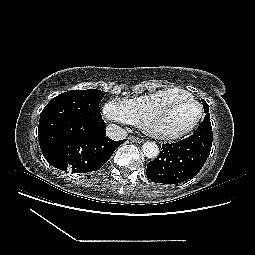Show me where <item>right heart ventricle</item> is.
Segmentation results:
<instances>
[{"mask_svg": "<svg viewBox=\"0 0 255 255\" xmlns=\"http://www.w3.org/2000/svg\"><path fill=\"white\" fill-rule=\"evenodd\" d=\"M182 90L180 88H165L124 101L134 120V125H142L151 111Z\"/></svg>", "mask_w": 255, "mask_h": 255, "instance_id": "obj_1", "label": "right heart ventricle"}]
</instances>
